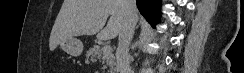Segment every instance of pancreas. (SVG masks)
I'll return each instance as SVG.
<instances>
[{"label": "pancreas", "mask_w": 244, "mask_h": 73, "mask_svg": "<svg viewBox=\"0 0 244 73\" xmlns=\"http://www.w3.org/2000/svg\"><path fill=\"white\" fill-rule=\"evenodd\" d=\"M103 55V56H102ZM86 62L91 61L92 63L103 60V63H106V67L108 66L110 68V71L108 73H114L116 71V63L114 55L111 52L104 54L103 48H100L99 45H94L92 48H90L86 52Z\"/></svg>", "instance_id": "obj_1"}]
</instances>
